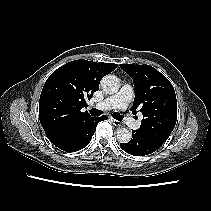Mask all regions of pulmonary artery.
Masks as SVG:
<instances>
[{"instance_id":"obj_1","label":"pulmonary artery","mask_w":211,"mask_h":211,"mask_svg":"<svg viewBox=\"0 0 211 211\" xmlns=\"http://www.w3.org/2000/svg\"><path fill=\"white\" fill-rule=\"evenodd\" d=\"M133 94V88L128 84H124L118 93L106 98L101 102L95 103L92 106L100 110H110L115 108L126 110L133 98ZM126 123L129 127L133 129L138 128L140 125L138 121L132 118H127Z\"/></svg>"}]
</instances>
